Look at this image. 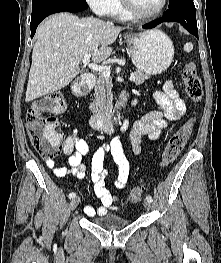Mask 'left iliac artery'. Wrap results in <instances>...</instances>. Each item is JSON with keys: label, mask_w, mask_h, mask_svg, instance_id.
I'll use <instances>...</instances> for the list:
<instances>
[{"label": "left iliac artery", "mask_w": 221, "mask_h": 263, "mask_svg": "<svg viewBox=\"0 0 221 263\" xmlns=\"http://www.w3.org/2000/svg\"><path fill=\"white\" fill-rule=\"evenodd\" d=\"M146 199H147L150 203L153 201V199H152V197H151L150 195H148V196L146 197Z\"/></svg>", "instance_id": "left-iliac-artery-1"}]
</instances>
